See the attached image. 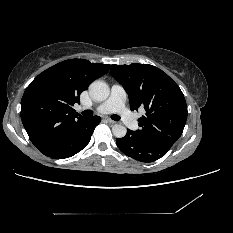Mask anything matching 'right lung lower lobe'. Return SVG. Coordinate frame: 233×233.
<instances>
[{"label":"right lung lower lobe","mask_w":233,"mask_h":233,"mask_svg":"<svg viewBox=\"0 0 233 233\" xmlns=\"http://www.w3.org/2000/svg\"><path fill=\"white\" fill-rule=\"evenodd\" d=\"M100 123L99 116L85 118L69 131L60 141L41 152L53 159L71 157L84 149L91 139L95 127Z\"/></svg>","instance_id":"1"}]
</instances>
